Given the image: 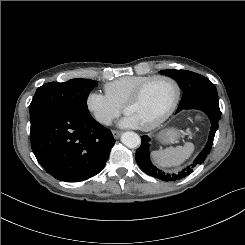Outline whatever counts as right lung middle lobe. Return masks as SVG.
I'll return each instance as SVG.
<instances>
[{
	"mask_svg": "<svg viewBox=\"0 0 245 245\" xmlns=\"http://www.w3.org/2000/svg\"><path fill=\"white\" fill-rule=\"evenodd\" d=\"M97 82L89 79H71L67 82H49L39 87L29 106L30 117L37 112L52 109L69 115L90 114L87 107L89 92Z\"/></svg>",
	"mask_w": 245,
	"mask_h": 245,
	"instance_id": "right-lung-middle-lobe-1",
	"label": "right lung middle lobe"
}]
</instances>
